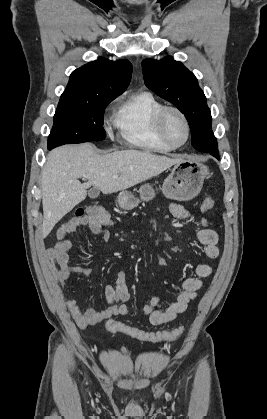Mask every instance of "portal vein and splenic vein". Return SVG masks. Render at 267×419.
I'll list each match as a JSON object with an SVG mask.
<instances>
[{
	"mask_svg": "<svg viewBox=\"0 0 267 419\" xmlns=\"http://www.w3.org/2000/svg\"><path fill=\"white\" fill-rule=\"evenodd\" d=\"M114 178H117V175H114Z\"/></svg>",
	"mask_w": 267,
	"mask_h": 419,
	"instance_id": "obj_1",
	"label": "portal vein and splenic vein"
}]
</instances>
